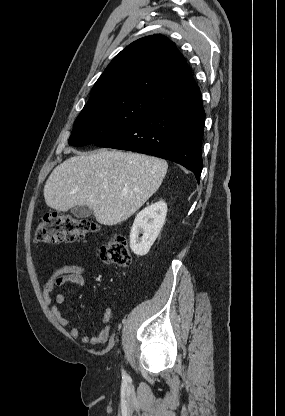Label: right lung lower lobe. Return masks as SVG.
Listing matches in <instances>:
<instances>
[{
  "label": "right lung lower lobe",
  "mask_w": 285,
  "mask_h": 416,
  "mask_svg": "<svg viewBox=\"0 0 285 416\" xmlns=\"http://www.w3.org/2000/svg\"><path fill=\"white\" fill-rule=\"evenodd\" d=\"M204 121L205 112L199 93L160 107L94 145L134 151L176 162L191 170L199 182Z\"/></svg>",
  "instance_id": "1"
}]
</instances>
